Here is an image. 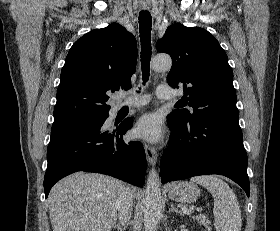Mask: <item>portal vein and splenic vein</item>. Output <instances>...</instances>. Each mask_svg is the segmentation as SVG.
Masks as SVG:
<instances>
[{
  "label": "portal vein and splenic vein",
  "instance_id": "18ae733b",
  "mask_svg": "<svg viewBox=\"0 0 280 231\" xmlns=\"http://www.w3.org/2000/svg\"><path fill=\"white\" fill-rule=\"evenodd\" d=\"M193 209H186V207H184V213H192Z\"/></svg>",
  "mask_w": 280,
  "mask_h": 231
}]
</instances>
